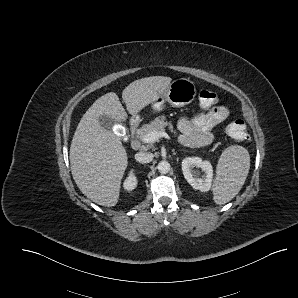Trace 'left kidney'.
<instances>
[{"label": "left kidney", "mask_w": 298, "mask_h": 298, "mask_svg": "<svg viewBox=\"0 0 298 298\" xmlns=\"http://www.w3.org/2000/svg\"><path fill=\"white\" fill-rule=\"evenodd\" d=\"M181 167L184 178L194 189L202 192H207L212 189L214 168L211 161L203 160L199 156H189L182 160ZM192 167L201 168L204 173L201 176L194 175Z\"/></svg>", "instance_id": "1"}]
</instances>
